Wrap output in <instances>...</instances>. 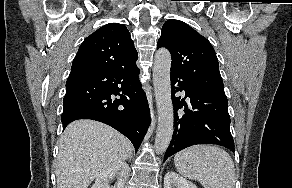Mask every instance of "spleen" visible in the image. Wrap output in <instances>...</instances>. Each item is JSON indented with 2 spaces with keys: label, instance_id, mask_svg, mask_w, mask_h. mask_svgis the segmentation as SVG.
I'll list each match as a JSON object with an SVG mask.
<instances>
[{
  "label": "spleen",
  "instance_id": "1",
  "mask_svg": "<svg viewBox=\"0 0 292 188\" xmlns=\"http://www.w3.org/2000/svg\"><path fill=\"white\" fill-rule=\"evenodd\" d=\"M181 175L199 181L204 188H234L235 167L231 156L213 145H194L174 156Z\"/></svg>",
  "mask_w": 292,
  "mask_h": 188
}]
</instances>
